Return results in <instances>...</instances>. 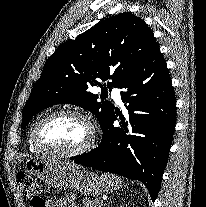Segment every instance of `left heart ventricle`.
<instances>
[{
    "mask_svg": "<svg viewBox=\"0 0 206 207\" xmlns=\"http://www.w3.org/2000/svg\"><path fill=\"white\" fill-rule=\"evenodd\" d=\"M90 138V130L82 120L62 117L45 124L40 139L47 146L72 151L84 146Z\"/></svg>",
    "mask_w": 206,
    "mask_h": 207,
    "instance_id": "obj_1",
    "label": "left heart ventricle"
}]
</instances>
